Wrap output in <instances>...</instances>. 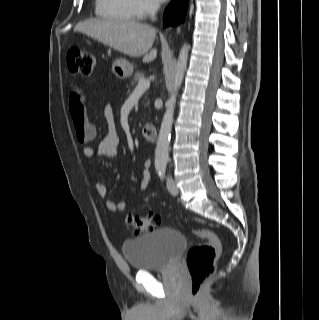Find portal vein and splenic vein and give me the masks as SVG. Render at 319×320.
Wrapping results in <instances>:
<instances>
[{"instance_id":"portal-vein-and-splenic-vein-1","label":"portal vein and splenic vein","mask_w":319,"mask_h":320,"mask_svg":"<svg viewBox=\"0 0 319 320\" xmlns=\"http://www.w3.org/2000/svg\"><path fill=\"white\" fill-rule=\"evenodd\" d=\"M150 87V81L148 79L142 78L139 80L135 90H145Z\"/></svg>"}]
</instances>
